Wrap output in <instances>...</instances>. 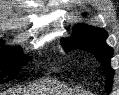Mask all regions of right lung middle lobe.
I'll return each mask as SVG.
<instances>
[{
  "mask_svg": "<svg viewBox=\"0 0 119 95\" xmlns=\"http://www.w3.org/2000/svg\"><path fill=\"white\" fill-rule=\"evenodd\" d=\"M21 50L18 47L14 48H5L0 53V68H5V73L9 74V79H13L16 77L19 73V70L22 66V63L26 59V57H22V59H18V56L20 55ZM14 65L15 67L13 69H9L10 66ZM2 79V76H0V81ZM8 80V79H7Z\"/></svg>",
  "mask_w": 119,
  "mask_h": 95,
  "instance_id": "1",
  "label": "right lung middle lobe"
}]
</instances>
